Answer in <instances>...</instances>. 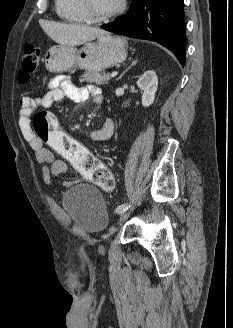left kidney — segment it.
<instances>
[{"mask_svg":"<svg viewBox=\"0 0 233 328\" xmlns=\"http://www.w3.org/2000/svg\"><path fill=\"white\" fill-rule=\"evenodd\" d=\"M137 86L143 90L142 106L149 107L155 99L158 87V78L153 70H148L138 79Z\"/></svg>","mask_w":233,"mask_h":328,"instance_id":"1","label":"left kidney"}]
</instances>
